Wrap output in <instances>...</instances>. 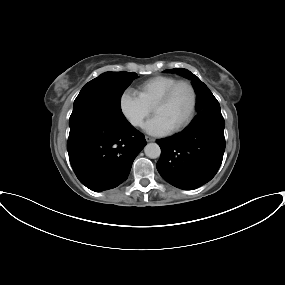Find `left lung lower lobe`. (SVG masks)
Returning <instances> with one entry per match:
<instances>
[{"label":"left lung lower lobe","instance_id":"1","mask_svg":"<svg viewBox=\"0 0 285 285\" xmlns=\"http://www.w3.org/2000/svg\"><path fill=\"white\" fill-rule=\"evenodd\" d=\"M222 115L204 116L182 132L157 140L161 156L157 170L170 184L192 190L217 173L225 150Z\"/></svg>","mask_w":285,"mask_h":285}]
</instances>
